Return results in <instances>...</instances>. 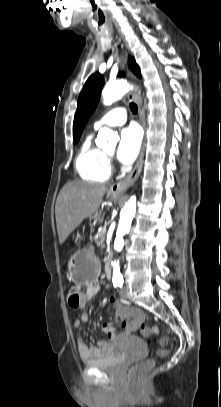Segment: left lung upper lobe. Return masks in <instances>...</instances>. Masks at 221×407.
I'll use <instances>...</instances> for the list:
<instances>
[{
	"instance_id": "1",
	"label": "left lung upper lobe",
	"mask_w": 221,
	"mask_h": 407,
	"mask_svg": "<svg viewBox=\"0 0 221 407\" xmlns=\"http://www.w3.org/2000/svg\"><path fill=\"white\" fill-rule=\"evenodd\" d=\"M129 63L134 73L140 77L139 67L132 57H129ZM120 75L123 74L121 73ZM103 85V76L100 73H95L88 78L79 95L78 106L73 123V137L75 143L79 141L84 126L96 109Z\"/></svg>"
}]
</instances>
